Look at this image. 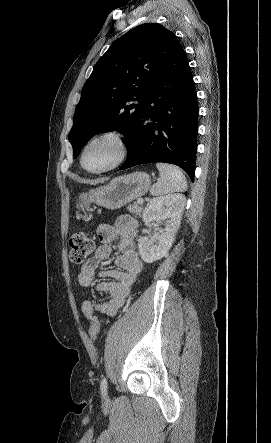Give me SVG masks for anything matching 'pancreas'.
Segmentation results:
<instances>
[{"instance_id":"pancreas-1","label":"pancreas","mask_w":271,"mask_h":443,"mask_svg":"<svg viewBox=\"0 0 271 443\" xmlns=\"http://www.w3.org/2000/svg\"><path fill=\"white\" fill-rule=\"evenodd\" d=\"M128 212H130V214H135V216H141V212L143 210L141 204H137V202H134V204H131V206H128L127 208Z\"/></svg>"}]
</instances>
